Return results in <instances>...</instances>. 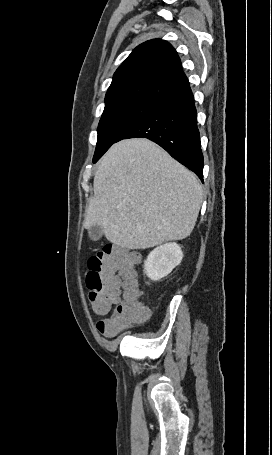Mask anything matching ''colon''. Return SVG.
Masks as SVG:
<instances>
[{
	"label": "colon",
	"instance_id": "colon-1",
	"mask_svg": "<svg viewBox=\"0 0 272 455\" xmlns=\"http://www.w3.org/2000/svg\"><path fill=\"white\" fill-rule=\"evenodd\" d=\"M137 260L128 249L115 244L104 245L87 260L88 299L96 314L107 315L97 323L105 336H115L147 316L136 280Z\"/></svg>",
	"mask_w": 272,
	"mask_h": 455
}]
</instances>
